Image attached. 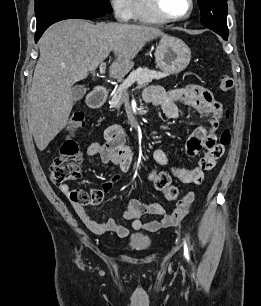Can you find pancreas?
Here are the masks:
<instances>
[{"instance_id":"pancreas-1","label":"pancreas","mask_w":261,"mask_h":306,"mask_svg":"<svg viewBox=\"0 0 261 306\" xmlns=\"http://www.w3.org/2000/svg\"><path fill=\"white\" fill-rule=\"evenodd\" d=\"M167 76H169V73L149 70L146 67H140L132 71L124 82L113 92L110 106L119 107L120 103L128 98V88L133 83L137 82L138 86L142 87L148 85L153 80H159Z\"/></svg>"}]
</instances>
